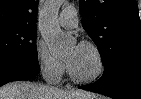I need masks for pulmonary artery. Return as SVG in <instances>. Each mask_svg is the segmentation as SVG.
Returning a JSON list of instances; mask_svg holds the SVG:
<instances>
[{
    "label": "pulmonary artery",
    "instance_id": "pulmonary-artery-1",
    "mask_svg": "<svg viewBox=\"0 0 141 99\" xmlns=\"http://www.w3.org/2000/svg\"><path fill=\"white\" fill-rule=\"evenodd\" d=\"M59 25L65 29H71L77 26L78 16L74 7H66L60 14Z\"/></svg>",
    "mask_w": 141,
    "mask_h": 99
}]
</instances>
